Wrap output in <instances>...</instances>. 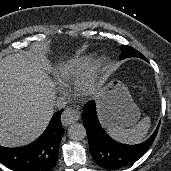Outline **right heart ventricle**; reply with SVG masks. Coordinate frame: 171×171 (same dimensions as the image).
<instances>
[{"label": "right heart ventricle", "instance_id": "1", "mask_svg": "<svg viewBox=\"0 0 171 171\" xmlns=\"http://www.w3.org/2000/svg\"><path fill=\"white\" fill-rule=\"evenodd\" d=\"M92 63L91 56H79L62 64L57 70L58 81L62 85L73 82L89 70Z\"/></svg>", "mask_w": 171, "mask_h": 171}]
</instances>
